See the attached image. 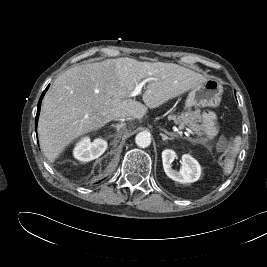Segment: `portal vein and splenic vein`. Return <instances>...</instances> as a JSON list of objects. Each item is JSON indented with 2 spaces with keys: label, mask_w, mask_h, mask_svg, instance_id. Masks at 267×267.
<instances>
[{
  "label": "portal vein and splenic vein",
  "mask_w": 267,
  "mask_h": 267,
  "mask_svg": "<svg viewBox=\"0 0 267 267\" xmlns=\"http://www.w3.org/2000/svg\"><path fill=\"white\" fill-rule=\"evenodd\" d=\"M151 80H152V78H147V79L143 80L141 83L137 84L135 89L132 92H130L129 97H134V96H137V95L141 94L142 87L147 82H149ZM185 130L190 134H194V132L191 129L187 128V127H185Z\"/></svg>",
  "instance_id": "obj_1"
}]
</instances>
